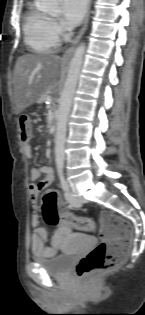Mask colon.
<instances>
[{"instance_id":"1","label":"colon","mask_w":145,"mask_h":315,"mask_svg":"<svg viewBox=\"0 0 145 315\" xmlns=\"http://www.w3.org/2000/svg\"><path fill=\"white\" fill-rule=\"evenodd\" d=\"M21 139L26 145L32 138V119L22 115L19 119ZM42 212L49 225L64 223L78 230H91V220L68 212L66 205L54 190L44 191ZM101 242L77 264V276L83 281H91L105 271L119 265L127 255L132 238V228L128 221L117 214L104 211L100 215Z\"/></svg>"}]
</instances>
